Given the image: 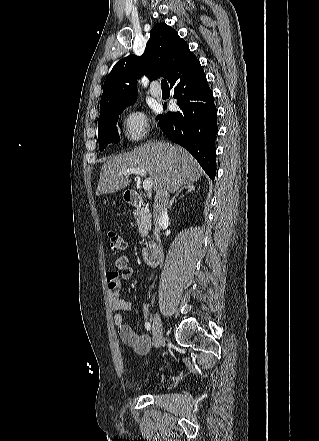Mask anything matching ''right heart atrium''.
Masks as SVG:
<instances>
[{"label": "right heart atrium", "instance_id": "d8ad5b80", "mask_svg": "<svg viewBox=\"0 0 319 441\" xmlns=\"http://www.w3.org/2000/svg\"><path fill=\"white\" fill-rule=\"evenodd\" d=\"M149 131L147 116L140 110L127 112L122 119V132L129 144H135L144 139Z\"/></svg>", "mask_w": 319, "mask_h": 441}]
</instances>
